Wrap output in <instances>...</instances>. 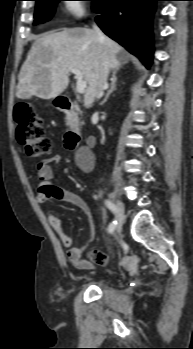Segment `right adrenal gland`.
<instances>
[{"label": "right adrenal gland", "instance_id": "2a0ac1e0", "mask_svg": "<svg viewBox=\"0 0 193 349\" xmlns=\"http://www.w3.org/2000/svg\"><path fill=\"white\" fill-rule=\"evenodd\" d=\"M116 81H117L116 73H113L112 78H111L110 89L107 91V94H106L104 100L101 102V105L104 104L107 101V99L109 98V96L111 95V93H113V91L116 90Z\"/></svg>", "mask_w": 193, "mask_h": 349}]
</instances>
